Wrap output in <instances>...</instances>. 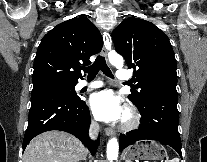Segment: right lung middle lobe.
Returning a JSON list of instances; mask_svg holds the SVG:
<instances>
[{
	"mask_svg": "<svg viewBox=\"0 0 207 162\" xmlns=\"http://www.w3.org/2000/svg\"><path fill=\"white\" fill-rule=\"evenodd\" d=\"M75 85L76 84H52V85L36 87L33 88L32 95L45 93V92H59L72 99H79V97L76 95V92L74 90Z\"/></svg>",
	"mask_w": 207,
	"mask_h": 162,
	"instance_id": "dd1d6c3e",
	"label": "right lung middle lobe"
}]
</instances>
